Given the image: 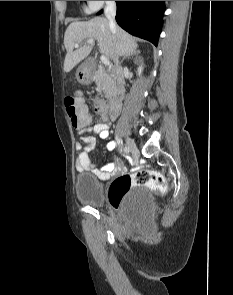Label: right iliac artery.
<instances>
[{
    "label": "right iliac artery",
    "instance_id": "1",
    "mask_svg": "<svg viewBox=\"0 0 233 295\" xmlns=\"http://www.w3.org/2000/svg\"><path fill=\"white\" fill-rule=\"evenodd\" d=\"M124 153H128V147H123Z\"/></svg>",
    "mask_w": 233,
    "mask_h": 295
}]
</instances>
